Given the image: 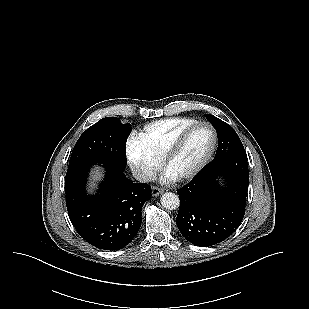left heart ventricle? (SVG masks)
<instances>
[{
	"instance_id": "left-heart-ventricle-1",
	"label": "left heart ventricle",
	"mask_w": 309,
	"mask_h": 309,
	"mask_svg": "<svg viewBox=\"0 0 309 309\" xmlns=\"http://www.w3.org/2000/svg\"><path fill=\"white\" fill-rule=\"evenodd\" d=\"M212 142V134L208 127H196L188 137L185 145L174 157L168 171L174 176L194 167L207 153Z\"/></svg>"
}]
</instances>
